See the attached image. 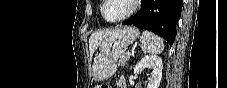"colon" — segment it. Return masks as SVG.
<instances>
[{"instance_id":"1","label":"colon","mask_w":227,"mask_h":88,"mask_svg":"<svg viewBox=\"0 0 227 88\" xmlns=\"http://www.w3.org/2000/svg\"><path fill=\"white\" fill-rule=\"evenodd\" d=\"M99 88H109L107 85L99 86Z\"/></svg>"}]
</instances>
